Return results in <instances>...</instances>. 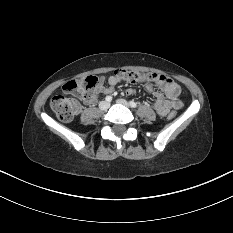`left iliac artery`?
<instances>
[{"label": "left iliac artery", "mask_w": 233, "mask_h": 233, "mask_svg": "<svg viewBox=\"0 0 233 233\" xmlns=\"http://www.w3.org/2000/svg\"><path fill=\"white\" fill-rule=\"evenodd\" d=\"M130 106L133 107V108H136L137 104L134 101H130Z\"/></svg>", "instance_id": "1"}]
</instances>
